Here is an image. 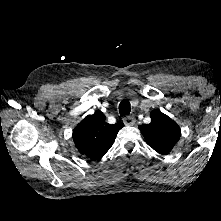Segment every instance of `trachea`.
<instances>
[{
    "label": "trachea",
    "instance_id": "3493384b",
    "mask_svg": "<svg viewBox=\"0 0 221 221\" xmlns=\"http://www.w3.org/2000/svg\"><path fill=\"white\" fill-rule=\"evenodd\" d=\"M131 107L130 102L128 100H123L119 104V113L121 116L130 114Z\"/></svg>",
    "mask_w": 221,
    "mask_h": 221
}]
</instances>
